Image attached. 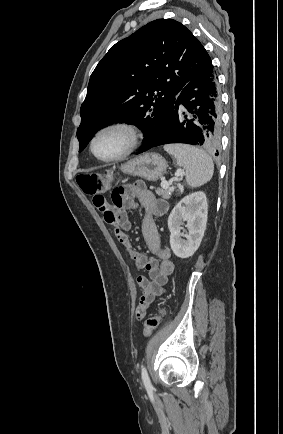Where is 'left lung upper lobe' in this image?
<instances>
[{
	"label": "left lung upper lobe",
	"mask_w": 283,
	"mask_h": 434,
	"mask_svg": "<svg viewBox=\"0 0 283 434\" xmlns=\"http://www.w3.org/2000/svg\"><path fill=\"white\" fill-rule=\"evenodd\" d=\"M211 65L199 40L172 19L152 21L119 41L91 74L80 109L79 152L110 123L134 124L144 134L143 147L152 144L176 95Z\"/></svg>",
	"instance_id": "obj_1"
}]
</instances>
